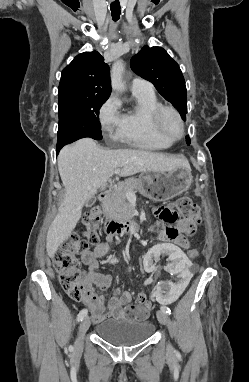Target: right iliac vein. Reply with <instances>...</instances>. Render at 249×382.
Listing matches in <instances>:
<instances>
[{"instance_id": "63e3f726", "label": "right iliac vein", "mask_w": 249, "mask_h": 382, "mask_svg": "<svg viewBox=\"0 0 249 382\" xmlns=\"http://www.w3.org/2000/svg\"><path fill=\"white\" fill-rule=\"evenodd\" d=\"M89 327H90V318L85 317L83 319V321L81 322L80 327H79V335H78V338L76 341V349L82 348L83 338H84L86 331L89 329Z\"/></svg>"}]
</instances>
